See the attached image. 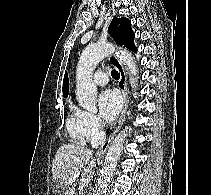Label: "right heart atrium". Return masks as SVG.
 Here are the masks:
<instances>
[{"mask_svg": "<svg viewBox=\"0 0 211 195\" xmlns=\"http://www.w3.org/2000/svg\"><path fill=\"white\" fill-rule=\"evenodd\" d=\"M83 130L87 139L93 142L99 140L102 130L98 117L90 112L80 111Z\"/></svg>", "mask_w": 211, "mask_h": 195, "instance_id": "d8ad5b80", "label": "right heart atrium"}]
</instances>
